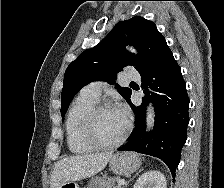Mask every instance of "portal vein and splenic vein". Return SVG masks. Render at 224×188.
<instances>
[{"label":"portal vein and splenic vein","instance_id":"18ae733b","mask_svg":"<svg viewBox=\"0 0 224 188\" xmlns=\"http://www.w3.org/2000/svg\"><path fill=\"white\" fill-rule=\"evenodd\" d=\"M124 184H126V181L124 179H120L118 181V185H124Z\"/></svg>","mask_w":224,"mask_h":188}]
</instances>
